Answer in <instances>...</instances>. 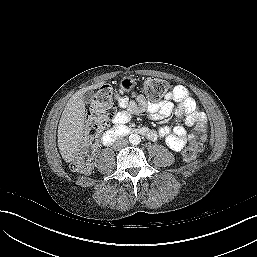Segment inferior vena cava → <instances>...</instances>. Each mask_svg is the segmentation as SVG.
Instances as JSON below:
<instances>
[{
    "label": "inferior vena cava",
    "instance_id": "1",
    "mask_svg": "<svg viewBox=\"0 0 257 257\" xmlns=\"http://www.w3.org/2000/svg\"><path fill=\"white\" fill-rule=\"evenodd\" d=\"M127 145H128V140H127V139H125V138H119V139H117V140L114 142L113 148H114L115 150H120V149L126 147Z\"/></svg>",
    "mask_w": 257,
    "mask_h": 257
}]
</instances>
